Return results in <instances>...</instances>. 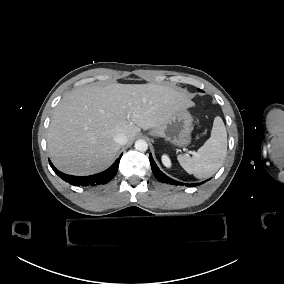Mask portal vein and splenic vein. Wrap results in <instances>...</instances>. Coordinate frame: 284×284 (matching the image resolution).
I'll list each match as a JSON object with an SVG mask.
<instances>
[{
	"instance_id": "18ae733b",
	"label": "portal vein and splenic vein",
	"mask_w": 284,
	"mask_h": 284,
	"mask_svg": "<svg viewBox=\"0 0 284 284\" xmlns=\"http://www.w3.org/2000/svg\"><path fill=\"white\" fill-rule=\"evenodd\" d=\"M189 154L195 155L196 152L195 151H189Z\"/></svg>"
}]
</instances>
